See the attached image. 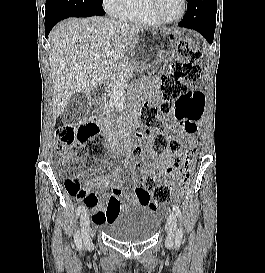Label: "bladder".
<instances>
[{
  "label": "bladder",
  "mask_w": 265,
  "mask_h": 273,
  "mask_svg": "<svg viewBox=\"0 0 265 273\" xmlns=\"http://www.w3.org/2000/svg\"><path fill=\"white\" fill-rule=\"evenodd\" d=\"M160 215L151 207L138 203L121 210L105 226L106 234L122 243L150 240L159 230Z\"/></svg>",
  "instance_id": "1"
}]
</instances>
